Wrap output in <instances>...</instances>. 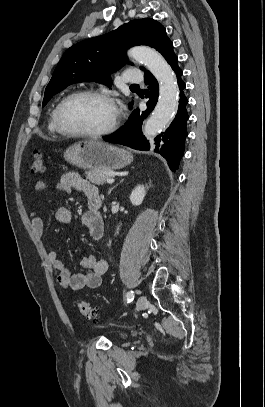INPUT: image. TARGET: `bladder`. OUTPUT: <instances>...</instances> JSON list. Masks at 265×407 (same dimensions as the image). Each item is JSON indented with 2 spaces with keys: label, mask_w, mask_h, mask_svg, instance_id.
<instances>
[{
  "label": "bladder",
  "mask_w": 265,
  "mask_h": 407,
  "mask_svg": "<svg viewBox=\"0 0 265 407\" xmlns=\"http://www.w3.org/2000/svg\"><path fill=\"white\" fill-rule=\"evenodd\" d=\"M120 336H121V338H126V337H127V334L123 333V334H121Z\"/></svg>",
  "instance_id": "31cf9c89"
}]
</instances>
